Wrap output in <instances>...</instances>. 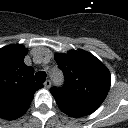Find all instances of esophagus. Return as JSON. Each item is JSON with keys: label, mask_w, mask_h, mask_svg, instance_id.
Here are the masks:
<instances>
[{"label": "esophagus", "mask_w": 128, "mask_h": 128, "mask_svg": "<svg viewBox=\"0 0 128 128\" xmlns=\"http://www.w3.org/2000/svg\"><path fill=\"white\" fill-rule=\"evenodd\" d=\"M44 87L46 89H49L51 87V81L50 80H46L45 83H44Z\"/></svg>", "instance_id": "obj_1"}]
</instances>
